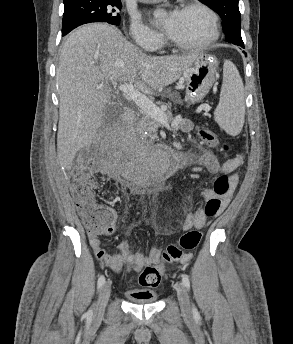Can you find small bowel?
Segmentation results:
<instances>
[{"label":"small bowel","instance_id":"c3829d8e","mask_svg":"<svg viewBox=\"0 0 293 344\" xmlns=\"http://www.w3.org/2000/svg\"><path fill=\"white\" fill-rule=\"evenodd\" d=\"M180 129L185 132L190 131L192 129L190 120L183 119L180 122ZM187 154L189 162L185 165L186 168H204L211 175H217L219 173L230 174L231 190L226 197L222 198L221 208L218 213L220 214L229 204L231 196L239 183V177L235 171L243 164L244 157L242 155H238L232 159L220 163L212 151L202 147H198L196 150H190ZM213 197H215V193L212 189H205L199 195L200 200L203 202H207ZM209 219L210 217L205 214L204 209L196 208L194 211L189 212L185 216L182 222V227L185 230L193 227L202 229L208 224ZM157 228H164V226L158 224ZM89 241L98 260L116 273H120L125 265H127L130 271L134 273H140L146 266L158 262L160 257V250L156 246H152L148 255L144 256L139 253H134L129 241L125 240L119 244V253L116 255H110L107 254L101 247V242L98 237H90ZM191 257L192 255L188 253L180 260V262L182 264H186L190 261ZM137 291L144 293L149 292L146 290Z\"/></svg>","mask_w":293,"mask_h":344}]
</instances>
